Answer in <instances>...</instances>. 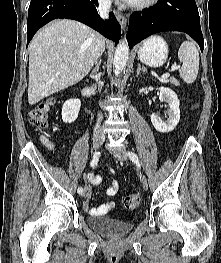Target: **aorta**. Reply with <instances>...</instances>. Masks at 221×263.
Segmentation results:
<instances>
[{
  "label": "aorta",
  "instance_id": "obj_1",
  "mask_svg": "<svg viewBox=\"0 0 221 263\" xmlns=\"http://www.w3.org/2000/svg\"><path fill=\"white\" fill-rule=\"evenodd\" d=\"M128 57H129V46L127 40L124 38L117 45L114 54L113 67H114L115 75H119L120 72L123 69H125L128 61Z\"/></svg>",
  "mask_w": 221,
  "mask_h": 263
}]
</instances>
